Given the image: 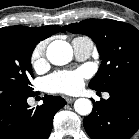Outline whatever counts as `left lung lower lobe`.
Returning <instances> with one entry per match:
<instances>
[{"label": "left lung lower lobe", "instance_id": "obj_1", "mask_svg": "<svg viewBox=\"0 0 139 139\" xmlns=\"http://www.w3.org/2000/svg\"><path fill=\"white\" fill-rule=\"evenodd\" d=\"M107 92L108 100L93 102V111L83 121L85 130L92 139H129L139 128V74Z\"/></svg>", "mask_w": 139, "mask_h": 139}]
</instances>
